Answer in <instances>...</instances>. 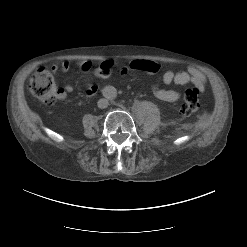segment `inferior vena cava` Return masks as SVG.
<instances>
[{
    "mask_svg": "<svg viewBox=\"0 0 247 247\" xmlns=\"http://www.w3.org/2000/svg\"><path fill=\"white\" fill-rule=\"evenodd\" d=\"M97 105L100 109H104L108 106V100L107 99H100L98 102H97Z\"/></svg>",
    "mask_w": 247,
    "mask_h": 247,
    "instance_id": "1",
    "label": "inferior vena cava"
}]
</instances>
